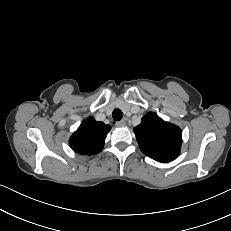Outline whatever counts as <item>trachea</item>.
I'll list each match as a JSON object with an SVG mask.
<instances>
[{"label":"trachea","instance_id":"obj_1","mask_svg":"<svg viewBox=\"0 0 231 231\" xmlns=\"http://www.w3.org/2000/svg\"><path fill=\"white\" fill-rule=\"evenodd\" d=\"M112 117L115 121H120L123 118V112L120 109L116 108L112 113Z\"/></svg>","mask_w":231,"mask_h":231}]
</instances>
